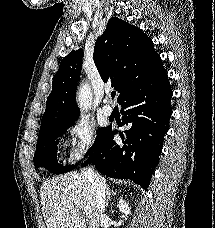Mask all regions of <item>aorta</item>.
<instances>
[{"mask_svg": "<svg viewBox=\"0 0 215 228\" xmlns=\"http://www.w3.org/2000/svg\"><path fill=\"white\" fill-rule=\"evenodd\" d=\"M90 90L89 88H87L86 84L85 86H82V88H80L78 94H77V102L79 104V108L80 110H82V112H87V110H89V106H90V96L91 94H89Z\"/></svg>", "mask_w": 215, "mask_h": 228, "instance_id": "762f6f07", "label": "aorta"}]
</instances>
